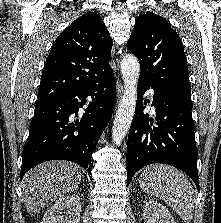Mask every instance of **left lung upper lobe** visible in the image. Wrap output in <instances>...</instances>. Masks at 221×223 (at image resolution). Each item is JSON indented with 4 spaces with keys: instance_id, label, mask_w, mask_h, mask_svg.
I'll use <instances>...</instances> for the list:
<instances>
[{
    "instance_id": "obj_1",
    "label": "left lung upper lobe",
    "mask_w": 221,
    "mask_h": 223,
    "mask_svg": "<svg viewBox=\"0 0 221 223\" xmlns=\"http://www.w3.org/2000/svg\"><path fill=\"white\" fill-rule=\"evenodd\" d=\"M127 49L140 62L139 80L190 100L191 87L183 45L163 17L151 12L139 15Z\"/></svg>"
}]
</instances>
